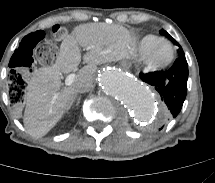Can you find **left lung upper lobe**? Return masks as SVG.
<instances>
[{"mask_svg":"<svg viewBox=\"0 0 215 183\" xmlns=\"http://www.w3.org/2000/svg\"><path fill=\"white\" fill-rule=\"evenodd\" d=\"M160 33L163 34V35H165V36H166L167 38H169L174 44H176V45L179 46V50H178V55H179V57L184 55V52H183L182 48L180 47V45H179L165 30H161Z\"/></svg>","mask_w":215,"mask_h":183,"instance_id":"1","label":"left lung upper lobe"}]
</instances>
